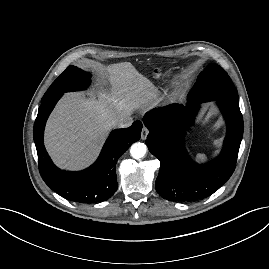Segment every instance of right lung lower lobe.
I'll return each instance as SVG.
<instances>
[{
	"instance_id": "obj_1",
	"label": "right lung lower lobe",
	"mask_w": 269,
	"mask_h": 269,
	"mask_svg": "<svg viewBox=\"0 0 269 269\" xmlns=\"http://www.w3.org/2000/svg\"><path fill=\"white\" fill-rule=\"evenodd\" d=\"M63 94L41 103L34 123L39 171L44 182L67 200L78 203H97L109 199L117 190L116 163L133 142L140 139L142 123L135 121L129 128L114 130L101 154L89 168L79 172L60 170L45 150L43 134L46 120Z\"/></svg>"
}]
</instances>
